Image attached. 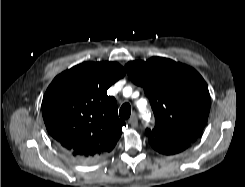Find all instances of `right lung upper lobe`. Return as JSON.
Segmentation results:
<instances>
[{"label":"right lung upper lobe","mask_w":245,"mask_h":187,"mask_svg":"<svg viewBox=\"0 0 245 187\" xmlns=\"http://www.w3.org/2000/svg\"><path fill=\"white\" fill-rule=\"evenodd\" d=\"M115 62H84L52 81L42 101L48 133L74 157L95 160L115 147L124 121L107 89L124 77Z\"/></svg>","instance_id":"right-lung-upper-lobe-1"}]
</instances>
